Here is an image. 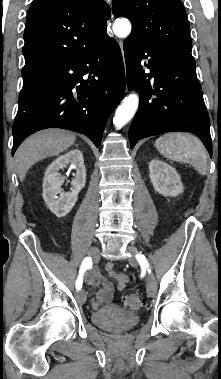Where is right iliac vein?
Returning <instances> with one entry per match:
<instances>
[{"instance_id":"1","label":"right iliac vein","mask_w":221,"mask_h":379,"mask_svg":"<svg viewBox=\"0 0 221 379\" xmlns=\"http://www.w3.org/2000/svg\"><path fill=\"white\" fill-rule=\"evenodd\" d=\"M88 254H89L93 259H97L98 256H99V249H98L97 247H92V248L89 250ZM76 298H77L78 302H80V303H85V302H86V299H87L85 291H84V290H79V291L77 292Z\"/></svg>"}]
</instances>
